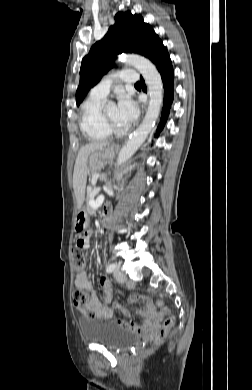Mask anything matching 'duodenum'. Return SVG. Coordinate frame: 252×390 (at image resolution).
<instances>
[{
  "mask_svg": "<svg viewBox=\"0 0 252 390\" xmlns=\"http://www.w3.org/2000/svg\"><path fill=\"white\" fill-rule=\"evenodd\" d=\"M109 208L104 207L102 211V227L103 230L106 231L109 228Z\"/></svg>",
  "mask_w": 252,
  "mask_h": 390,
  "instance_id": "1",
  "label": "duodenum"
}]
</instances>
